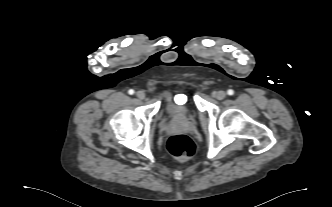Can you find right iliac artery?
<instances>
[{
	"label": "right iliac artery",
	"mask_w": 332,
	"mask_h": 207,
	"mask_svg": "<svg viewBox=\"0 0 332 207\" xmlns=\"http://www.w3.org/2000/svg\"><path fill=\"white\" fill-rule=\"evenodd\" d=\"M128 93H129L130 95H133V94H134V90H133V89H130V90L128 91Z\"/></svg>",
	"instance_id": "obj_1"
}]
</instances>
